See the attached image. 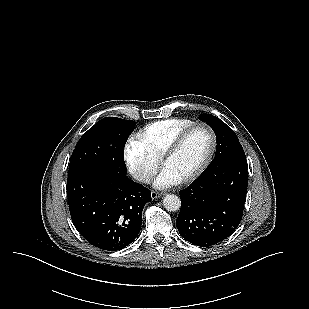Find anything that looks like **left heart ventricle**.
<instances>
[{
  "mask_svg": "<svg viewBox=\"0 0 309 309\" xmlns=\"http://www.w3.org/2000/svg\"><path fill=\"white\" fill-rule=\"evenodd\" d=\"M210 144L208 130L204 127L194 128L176 154L165 163L164 168L169 169L179 180L184 178L203 162Z\"/></svg>",
  "mask_w": 309,
  "mask_h": 309,
  "instance_id": "obj_1",
  "label": "left heart ventricle"
}]
</instances>
